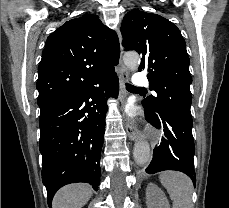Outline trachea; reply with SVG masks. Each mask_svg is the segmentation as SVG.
<instances>
[{
  "label": "trachea",
  "instance_id": "obj_1",
  "mask_svg": "<svg viewBox=\"0 0 229 208\" xmlns=\"http://www.w3.org/2000/svg\"><path fill=\"white\" fill-rule=\"evenodd\" d=\"M126 88H137V87H134V85H130L129 83H126Z\"/></svg>",
  "mask_w": 229,
  "mask_h": 208
}]
</instances>
